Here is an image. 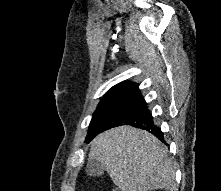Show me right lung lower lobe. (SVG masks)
<instances>
[{
	"instance_id": "obj_1",
	"label": "right lung lower lobe",
	"mask_w": 221,
	"mask_h": 191,
	"mask_svg": "<svg viewBox=\"0 0 221 191\" xmlns=\"http://www.w3.org/2000/svg\"><path fill=\"white\" fill-rule=\"evenodd\" d=\"M120 125H132L147 130L164 142L163 133L154 125L152 115L138 87L112 106L102 121L99 133Z\"/></svg>"
}]
</instances>
